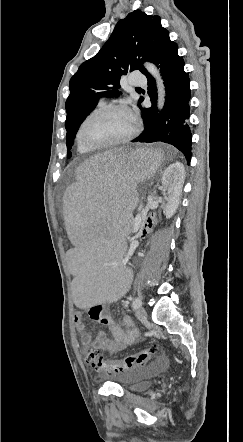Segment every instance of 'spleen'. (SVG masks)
<instances>
[{"instance_id": "obj_1", "label": "spleen", "mask_w": 243, "mask_h": 442, "mask_svg": "<svg viewBox=\"0 0 243 442\" xmlns=\"http://www.w3.org/2000/svg\"><path fill=\"white\" fill-rule=\"evenodd\" d=\"M164 154L144 149L130 153L105 147L104 154L79 163L74 182L63 193L70 242V290L75 307H102L110 296L132 291L130 265H124L123 239L131 237L130 214L139 209L136 193L150 178H161ZM122 192V193H94Z\"/></svg>"}]
</instances>
